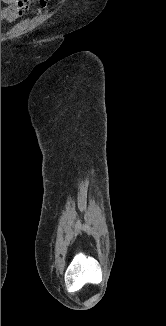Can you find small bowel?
<instances>
[{
    "mask_svg": "<svg viewBox=\"0 0 166 326\" xmlns=\"http://www.w3.org/2000/svg\"><path fill=\"white\" fill-rule=\"evenodd\" d=\"M6 4V7L1 9L2 20H15L21 16L32 4L38 5L40 8H45L47 0H1Z\"/></svg>",
    "mask_w": 166,
    "mask_h": 326,
    "instance_id": "small-bowel-1",
    "label": "small bowel"
}]
</instances>
